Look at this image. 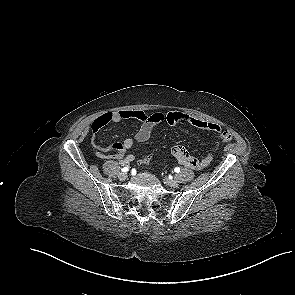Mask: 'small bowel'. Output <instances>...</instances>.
I'll return each mask as SVG.
<instances>
[{"label":"small bowel","mask_w":295,"mask_h":295,"mask_svg":"<svg viewBox=\"0 0 295 295\" xmlns=\"http://www.w3.org/2000/svg\"><path fill=\"white\" fill-rule=\"evenodd\" d=\"M128 119H135L141 122L139 130L133 138H126L123 142H116L109 147H101L98 144L97 135L104 126ZM162 122H167L170 125H191L198 129L211 131L216 133L222 142H230L233 138L229 131L223 130L218 124L206 122L179 111L157 112L153 114H147L141 110L107 112L97 117L91 126L93 142L98 149L97 157L101 159H118L122 165L130 164L134 160V155L126 153V151L133 146L135 141L146 142L149 140L154 128ZM172 152L181 165L194 170L206 168L213 160L212 153H208L202 159H197L191 156L183 146L174 147Z\"/></svg>","instance_id":"small-bowel-1"}]
</instances>
